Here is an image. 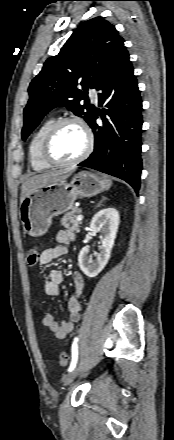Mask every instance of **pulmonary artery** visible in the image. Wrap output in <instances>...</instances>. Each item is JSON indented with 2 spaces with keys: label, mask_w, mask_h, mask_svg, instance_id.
Wrapping results in <instances>:
<instances>
[{
  "label": "pulmonary artery",
  "mask_w": 174,
  "mask_h": 440,
  "mask_svg": "<svg viewBox=\"0 0 174 440\" xmlns=\"http://www.w3.org/2000/svg\"><path fill=\"white\" fill-rule=\"evenodd\" d=\"M90 97L94 102H98V94L97 91L95 89H91L90 92Z\"/></svg>",
  "instance_id": "pulmonary-artery-1"
}]
</instances>
